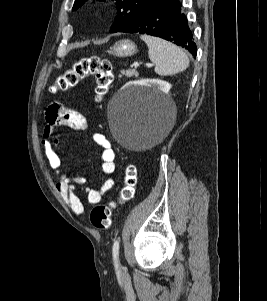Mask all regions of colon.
<instances>
[{"instance_id":"colon-1","label":"colon","mask_w":267,"mask_h":301,"mask_svg":"<svg viewBox=\"0 0 267 301\" xmlns=\"http://www.w3.org/2000/svg\"><path fill=\"white\" fill-rule=\"evenodd\" d=\"M88 76L96 80V100L101 101L108 93L113 82L114 74L109 60L98 56L83 57L76 61L71 68L60 75L51 87L53 92L66 91L76 86ZM136 172L134 167L128 166L125 170L123 186L120 190L117 202L130 200L135 191ZM115 201L95 206L90 213L93 226L99 230H106L111 226Z\"/></svg>"}]
</instances>
